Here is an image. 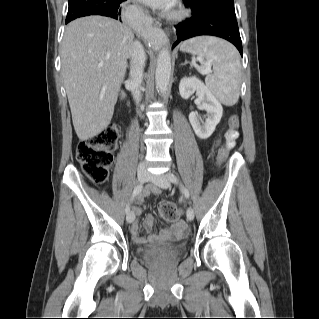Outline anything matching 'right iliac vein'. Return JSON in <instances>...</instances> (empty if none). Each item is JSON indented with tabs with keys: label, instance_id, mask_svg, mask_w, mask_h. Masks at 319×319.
<instances>
[{
	"label": "right iliac vein",
	"instance_id": "obj_1",
	"mask_svg": "<svg viewBox=\"0 0 319 319\" xmlns=\"http://www.w3.org/2000/svg\"><path fill=\"white\" fill-rule=\"evenodd\" d=\"M137 177H138L139 182L144 183L148 180V172L144 169H139L137 172ZM134 218H135V215H134L133 211H131L127 214L126 219H127L128 223H132Z\"/></svg>",
	"mask_w": 319,
	"mask_h": 319
}]
</instances>
